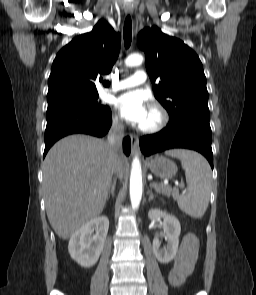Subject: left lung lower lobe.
Listing matches in <instances>:
<instances>
[{
	"label": "left lung lower lobe",
	"instance_id": "1",
	"mask_svg": "<svg viewBox=\"0 0 256 295\" xmlns=\"http://www.w3.org/2000/svg\"><path fill=\"white\" fill-rule=\"evenodd\" d=\"M140 148L145 156L174 148L192 149L203 154L213 168V153L211 148V128L209 120L195 117H184L160 132L143 136Z\"/></svg>",
	"mask_w": 256,
	"mask_h": 295
}]
</instances>
